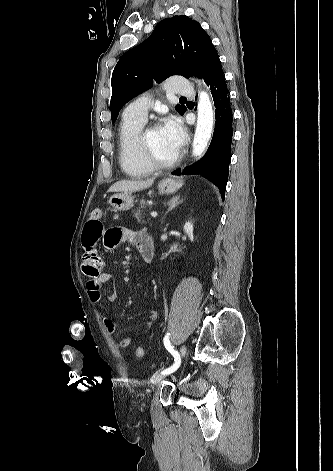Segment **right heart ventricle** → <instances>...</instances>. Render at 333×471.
Listing matches in <instances>:
<instances>
[{
    "mask_svg": "<svg viewBox=\"0 0 333 471\" xmlns=\"http://www.w3.org/2000/svg\"><path fill=\"white\" fill-rule=\"evenodd\" d=\"M145 121L123 116L118 132V159L123 172L132 178L150 175L154 168L145 160L139 137Z\"/></svg>",
    "mask_w": 333,
    "mask_h": 471,
    "instance_id": "obj_1",
    "label": "right heart ventricle"
}]
</instances>
